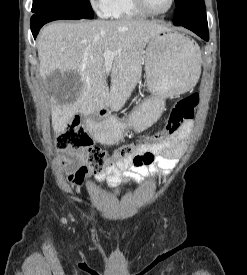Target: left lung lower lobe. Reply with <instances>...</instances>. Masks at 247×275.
Listing matches in <instances>:
<instances>
[{
	"instance_id": "obj_1",
	"label": "left lung lower lobe",
	"mask_w": 247,
	"mask_h": 275,
	"mask_svg": "<svg viewBox=\"0 0 247 275\" xmlns=\"http://www.w3.org/2000/svg\"><path fill=\"white\" fill-rule=\"evenodd\" d=\"M176 26H183L198 36H200L205 41L209 40V33H208V25L207 23H196V24H183V25H176Z\"/></svg>"
}]
</instances>
